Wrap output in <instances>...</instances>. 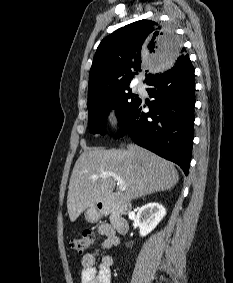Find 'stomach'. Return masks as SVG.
Wrapping results in <instances>:
<instances>
[{
	"label": "stomach",
	"instance_id": "0dacf381",
	"mask_svg": "<svg viewBox=\"0 0 233 283\" xmlns=\"http://www.w3.org/2000/svg\"><path fill=\"white\" fill-rule=\"evenodd\" d=\"M85 218L89 222H96L102 215V212L96 207H90L85 212Z\"/></svg>",
	"mask_w": 233,
	"mask_h": 283
}]
</instances>
